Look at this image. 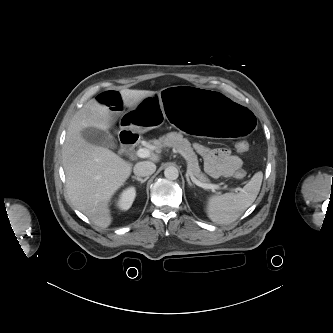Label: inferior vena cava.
<instances>
[{
	"mask_svg": "<svg viewBox=\"0 0 333 333\" xmlns=\"http://www.w3.org/2000/svg\"><path fill=\"white\" fill-rule=\"evenodd\" d=\"M156 171V165L150 161L138 162L134 166V174L137 176L148 177Z\"/></svg>",
	"mask_w": 333,
	"mask_h": 333,
	"instance_id": "1",
	"label": "inferior vena cava"
}]
</instances>
